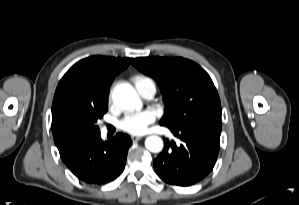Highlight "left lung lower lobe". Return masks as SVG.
<instances>
[{
	"label": "left lung lower lobe",
	"mask_w": 299,
	"mask_h": 205,
	"mask_svg": "<svg viewBox=\"0 0 299 205\" xmlns=\"http://www.w3.org/2000/svg\"><path fill=\"white\" fill-rule=\"evenodd\" d=\"M182 141L176 146L167 140L154 160V170L166 183L190 186L213 169L220 149L221 120H210L180 127H168Z\"/></svg>",
	"instance_id": "obj_1"
}]
</instances>
